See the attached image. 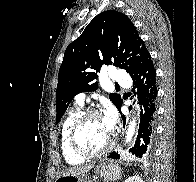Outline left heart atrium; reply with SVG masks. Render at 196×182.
<instances>
[{
    "mask_svg": "<svg viewBox=\"0 0 196 182\" xmlns=\"http://www.w3.org/2000/svg\"><path fill=\"white\" fill-rule=\"evenodd\" d=\"M104 124L107 130L111 133L115 127L116 116L113 111H107L105 117L103 118Z\"/></svg>",
    "mask_w": 196,
    "mask_h": 182,
    "instance_id": "39dd6f15",
    "label": "left heart atrium"
}]
</instances>
